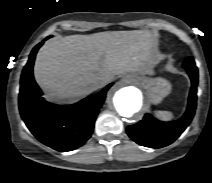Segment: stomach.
<instances>
[{
  "instance_id": "1",
  "label": "stomach",
  "mask_w": 212,
  "mask_h": 183,
  "mask_svg": "<svg viewBox=\"0 0 212 183\" xmlns=\"http://www.w3.org/2000/svg\"><path fill=\"white\" fill-rule=\"evenodd\" d=\"M146 89L148 100L153 104L160 103L171 91V84L163 78H147L142 74H134Z\"/></svg>"
}]
</instances>
